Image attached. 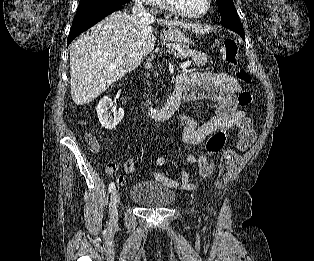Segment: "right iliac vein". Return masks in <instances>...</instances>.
I'll list each match as a JSON object with an SVG mask.
<instances>
[{"mask_svg": "<svg viewBox=\"0 0 314 261\" xmlns=\"http://www.w3.org/2000/svg\"><path fill=\"white\" fill-rule=\"evenodd\" d=\"M119 202H120L119 192L115 189L112 191L110 204H109V211H110V218H111L112 225L117 222V218H118L117 207H118Z\"/></svg>", "mask_w": 314, "mask_h": 261, "instance_id": "obj_1", "label": "right iliac vein"}]
</instances>
